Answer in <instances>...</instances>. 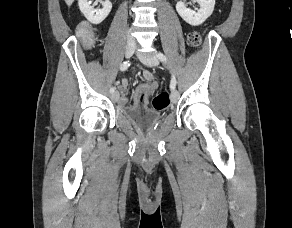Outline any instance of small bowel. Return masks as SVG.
I'll return each mask as SVG.
<instances>
[{
    "mask_svg": "<svg viewBox=\"0 0 292 228\" xmlns=\"http://www.w3.org/2000/svg\"><path fill=\"white\" fill-rule=\"evenodd\" d=\"M141 66L139 65L138 68ZM142 77L146 81L144 84H140L136 87L134 91V105L135 106H143L148 107L149 98L157 89V82L155 81L154 74L149 70L142 71ZM129 84V79L124 78L119 83L120 90V103L122 105L128 104V96H127V86Z\"/></svg>",
    "mask_w": 292,
    "mask_h": 228,
    "instance_id": "1",
    "label": "small bowel"
}]
</instances>
